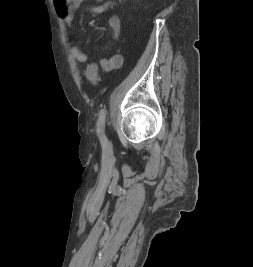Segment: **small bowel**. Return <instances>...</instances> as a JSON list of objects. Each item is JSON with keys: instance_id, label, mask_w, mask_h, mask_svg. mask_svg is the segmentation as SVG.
I'll use <instances>...</instances> for the list:
<instances>
[{"instance_id": "c3829d8e", "label": "small bowel", "mask_w": 253, "mask_h": 267, "mask_svg": "<svg viewBox=\"0 0 253 267\" xmlns=\"http://www.w3.org/2000/svg\"><path fill=\"white\" fill-rule=\"evenodd\" d=\"M84 1L85 0H54L56 12L65 23L68 30V36L71 40V53L73 57L81 63H84L87 60V57L82 52L79 44L73 39L72 23L76 10L82 5ZM96 1L101 2L102 0ZM114 5V0L105 1L96 6H87L86 11L94 14H100L112 8ZM109 26L113 32L114 38L117 39L121 31L120 18L117 15L110 17ZM110 64L114 67H119L122 64V57L120 55H115L110 60Z\"/></svg>"}]
</instances>
